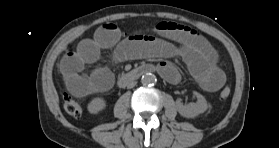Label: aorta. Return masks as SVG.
Segmentation results:
<instances>
[{"label":"aorta","mask_w":279,"mask_h":148,"mask_svg":"<svg viewBox=\"0 0 279 148\" xmlns=\"http://www.w3.org/2000/svg\"><path fill=\"white\" fill-rule=\"evenodd\" d=\"M157 81V78L152 73H146L142 76L141 82L144 85H154Z\"/></svg>","instance_id":"obj_1"}]
</instances>
